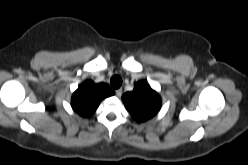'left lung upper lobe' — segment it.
<instances>
[{"mask_svg":"<svg viewBox=\"0 0 248 165\" xmlns=\"http://www.w3.org/2000/svg\"><path fill=\"white\" fill-rule=\"evenodd\" d=\"M122 100L132 117L146 121L157 114L161 108V98L146 81L135 83L134 90L123 94Z\"/></svg>","mask_w":248,"mask_h":165,"instance_id":"obj_1","label":"left lung upper lobe"}]
</instances>
